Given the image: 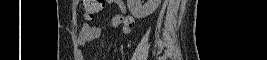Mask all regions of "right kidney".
<instances>
[{
	"instance_id": "right-kidney-1",
	"label": "right kidney",
	"mask_w": 267,
	"mask_h": 60,
	"mask_svg": "<svg viewBox=\"0 0 267 60\" xmlns=\"http://www.w3.org/2000/svg\"><path fill=\"white\" fill-rule=\"evenodd\" d=\"M161 0H147L144 5L141 0H127V6L130 13L137 19L145 18L151 15L159 6Z\"/></svg>"
}]
</instances>
